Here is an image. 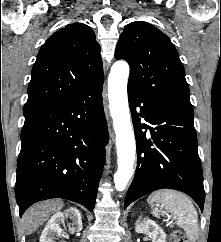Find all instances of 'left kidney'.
Returning <instances> with one entry per match:
<instances>
[{"instance_id":"1","label":"left kidney","mask_w":221,"mask_h":242,"mask_svg":"<svg viewBox=\"0 0 221 242\" xmlns=\"http://www.w3.org/2000/svg\"><path fill=\"white\" fill-rule=\"evenodd\" d=\"M135 231L140 234L151 235L152 242H167L163 229L150 219L139 218L135 224Z\"/></svg>"}]
</instances>
